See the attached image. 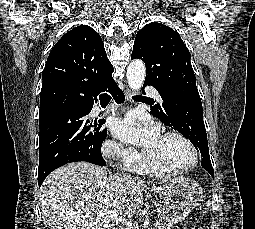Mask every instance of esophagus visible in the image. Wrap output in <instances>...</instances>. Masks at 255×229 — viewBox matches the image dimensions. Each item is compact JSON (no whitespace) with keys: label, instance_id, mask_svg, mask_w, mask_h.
Wrapping results in <instances>:
<instances>
[{"label":"esophagus","instance_id":"esophagus-1","mask_svg":"<svg viewBox=\"0 0 255 229\" xmlns=\"http://www.w3.org/2000/svg\"><path fill=\"white\" fill-rule=\"evenodd\" d=\"M124 94H125L126 101L128 102L131 101L133 92L128 87L125 88Z\"/></svg>","mask_w":255,"mask_h":229}]
</instances>
